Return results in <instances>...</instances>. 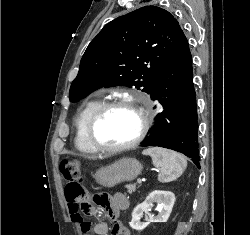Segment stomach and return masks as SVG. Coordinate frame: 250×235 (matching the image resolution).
<instances>
[{
	"label": "stomach",
	"instance_id": "1",
	"mask_svg": "<svg viewBox=\"0 0 250 235\" xmlns=\"http://www.w3.org/2000/svg\"><path fill=\"white\" fill-rule=\"evenodd\" d=\"M142 165L135 158H122L115 163L101 167L95 173L98 184L112 188L125 181H132L141 173Z\"/></svg>",
	"mask_w": 250,
	"mask_h": 235
}]
</instances>
